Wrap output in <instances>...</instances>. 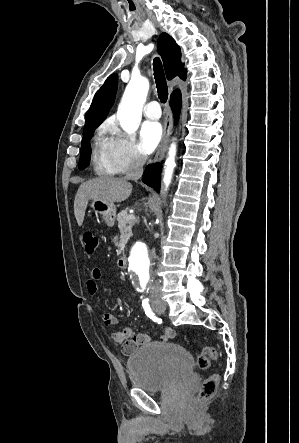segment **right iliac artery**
Listing matches in <instances>:
<instances>
[{
  "label": "right iliac artery",
  "mask_w": 299,
  "mask_h": 443,
  "mask_svg": "<svg viewBox=\"0 0 299 443\" xmlns=\"http://www.w3.org/2000/svg\"><path fill=\"white\" fill-rule=\"evenodd\" d=\"M142 306H143V309H144L146 315L149 318H151L154 322H157L158 324L162 323V319L156 317L155 314L153 313V311H152V309L150 307L148 299L143 300Z\"/></svg>",
  "instance_id": "1"
}]
</instances>
